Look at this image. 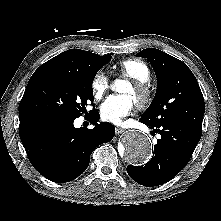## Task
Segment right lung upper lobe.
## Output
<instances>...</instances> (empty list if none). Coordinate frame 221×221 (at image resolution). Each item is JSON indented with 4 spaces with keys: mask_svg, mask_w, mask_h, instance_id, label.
<instances>
[{
    "mask_svg": "<svg viewBox=\"0 0 221 221\" xmlns=\"http://www.w3.org/2000/svg\"><path fill=\"white\" fill-rule=\"evenodd\" d=\"M100 57L89 51L70 49L42 64L34 73L47 70L82 73L89 71Z\"/></svg>",
    "mask_w": 221,
    "mask_h": 221,
    "instance_id": "obj_1",
    "label": "right lung upper lobe"
}]
</instances>
